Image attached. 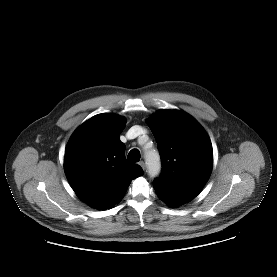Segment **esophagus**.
Masks as SVG:
<instances>
[{"instance_id":"1","label":"esophagus","mask_w":277,"mask_h":277,"mask_svg":"<svg viewBox=\"0 0 277 277\" xmlns=\"http://www.w3.org/2000/svg\"><path fill=\"white\" fill-rule=\"evenodd\" d=\"M139 165L141 166V168H142L143 170H145V163H144L143 161H140V162H139Z\"/></svg>"}]
</instances>
